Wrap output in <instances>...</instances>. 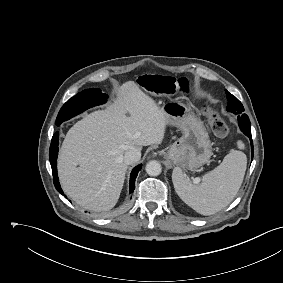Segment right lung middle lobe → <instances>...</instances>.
<instances>
[{
    "mask_svg": "<svg viewBox=\"0 0 283 283\" xmlns=\"http://www.w3.org/2000/svg\"><path fill=\"white\" fill-rule=\"evenodd\" d=\"M107 97L106 94H103L101 90L97 88L87 89L78 93L68 100L60 109L56 118V125L59 126L65 120L80 114L88 108L105 103Z\"/></svg>",
    "mask_w": 283,
    "mask_h": 283,
    "instance_id": "1",
    "label": "right lung middle lobe"
}]
</instances>
